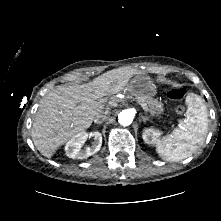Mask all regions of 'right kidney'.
Segmentation results:
<instances>
[{
  "label": "right kidney",
  "mask_w": 221,
  "mask_h": 221,
  "mask_svg": "<svg viewBox=\"0 0 221 221\" xmlns=\"http://www.w3.org/2000/svg\"><path fill=\"white\" fill-rule=\"evenodd\" d=\"M94 137V142L91 147L82 150V146L88 137ZM102 145V135L98 131L93 133L81 132L75 135L71 140L66 143L65 152L69 158L72 159H85L98 152Z\"/></svg>",
  "instance_id": "ca27d5eb"
}]
</instances>
